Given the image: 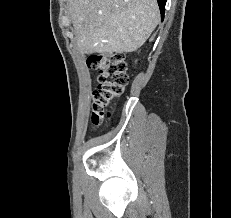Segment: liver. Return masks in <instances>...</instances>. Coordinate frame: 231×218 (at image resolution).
<instances>
[{
  "label": "liver",
  "instance_id": "1",
  "mask_svg": "<svg viewBox=\"0 0 231 218\" xmlns=\"http://www.w3.org/2000/svg\"><path fill=\"white\" fill-rule=\"evenodd\" d=\"M78 49L83 54L132 52L156 28V0H69Z\"/></svg>",
  "mask_w": 231,
  "mask_h": 218
}]
</instances>
